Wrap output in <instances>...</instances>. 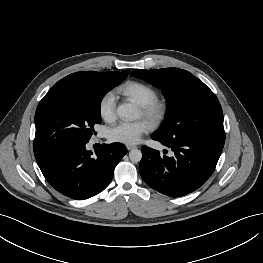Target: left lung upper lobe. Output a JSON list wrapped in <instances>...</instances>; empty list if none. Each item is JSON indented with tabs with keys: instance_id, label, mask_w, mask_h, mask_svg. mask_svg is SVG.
<instances>
[{
	"instance_id": "1",
	"label": "left lung upper lobe",
	"mask_w": 263,
	"mask_h": 263,
	"mask_svg": "<svg viewBox=\"0 0 263 263\" xmlns=\"http://www.w3.org/2000/svg\"><path fill=\"white\" fill-rule=\"evenodd\" d=\"M132 76L162 88L166 120L154 133L163 139L225 134L223 112L215 94L190 72L178 68L134 70Z\"/></svg>"
}]
</instances>
